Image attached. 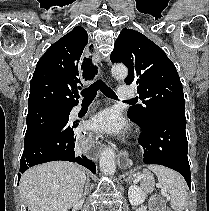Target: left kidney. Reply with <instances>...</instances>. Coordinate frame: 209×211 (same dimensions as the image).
<instances>
[{"label":"left kidney","instance_id":"left-kidney-1","mask_svg":"<svg viewBox=\"0 0 209 211\" xmlns=\"http://www.w3.org/2000/svg\"><path fill=\"white\" fill-rule=\"evenodd\" d=\"M128 198L133 206H138L142 204L145 200V194L142 191V188L132 185L128 190Z\"/></svg>","mask_w":209,"mask_h":211}]
</instances>
